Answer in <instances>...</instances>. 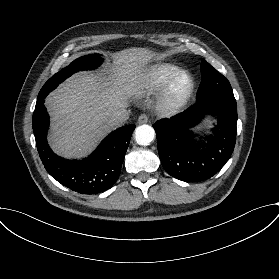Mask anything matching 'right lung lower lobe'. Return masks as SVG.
<instances>
[{"label":"right lung lower lobe","mask_w":279,"mask_h":279,"mask_svg":"<svg viewBox=\"0 0 279 279\" xmlns=\"http://www.w3.org/2000/svg\"><path fill=\"white\" fill-rule=\"evenodd\" d=\"M45 97L37 98L32 126L47 172L59 183L80 194H97L112 187L119 178L135 125L123 126L109 134L88 158L67 160L57 156L47 143L49 119L43 105Z\"/></svg>","instance_id":"obj_1"}]
</instances>
